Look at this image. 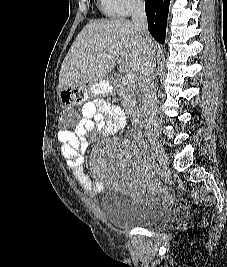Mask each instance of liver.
Segmentation results:
<instances>
[{
	"mask_svg": "<svg viewBox=\"0 0 227 267\" xmlns=\"http://www.w3.org/2000/svg\"><path fill=\"white\" fill-rule=\"evenodd\" d=\"M147 44L155 42L149 35ZM140 34L124 18L88 23L78 34L61 66L59 91L62 87H83L102 82L118 64L120 70L140 76L143 62Z\"/></svg>",
	"mask_w": 227,
	"mask_h": 267,
	"instance_id": "liver-1",
	"label": "liver"
}]
</instances>
